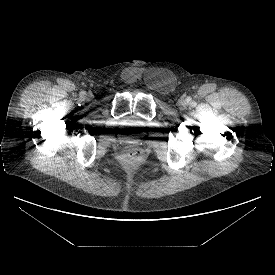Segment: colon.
<instances>
[{
	"mask_svg": "<svg viewBox=\"0 0 275 275\" xmlns=\"http://www.w3.org/2000/svg\"><path fill=\"white\" fill-rule=\"evenodd\" d=\"M122 159L127 165H136L142 161V152L137 147H131L124 152Z\"/></svg>",
	"mask_w": 275,
	"mask_h": 275,
	"instance_id": "1",
	"label": "colon"
}]
</instances>
